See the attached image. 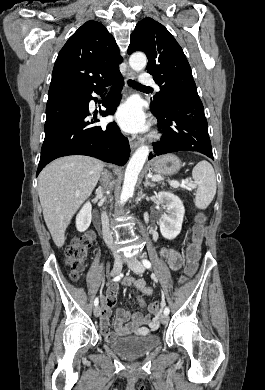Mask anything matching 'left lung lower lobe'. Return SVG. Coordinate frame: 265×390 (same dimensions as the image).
I'll return each mask as SVG.
<instances>
[{"instance_id": "left-lung-lower-lobe-1", "label": "left lung lower lobe", "mask_w": 265, "mask_h": 390, "mask_svg": "<svg viewBox=\"0 0 265 390\" xmlns=\"http://www.w3.org/2000/svg\"><path fill=\"white\" fill-rule=\"evenodd\" d=\"M151 107L163 133L149 159L177 151H195L213 159L207 120L198 93L169 95L161 109Z\"/></svg>"}]
</instances>
